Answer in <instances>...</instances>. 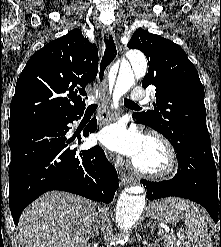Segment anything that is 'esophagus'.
<instances>
[{
	"label": "esophagus",
	"mask_w": 221,
	"mask_h": 247,
	"mask_svg": "<svg viewBox=\"0 0 221 247\" xmlns=\"http://www.w3.org/2000/svg\"><path fill=\"white\" fill-rule=\"evenodd\" d=\"M118 56V47L115 35L111 26H105L102 29V54L99 62V70L97 81L99 84L101 94V109L104 114V119L108 120V106H107V73L110 66ZM116 101L119 100L117 95H114ZM121 182L123 184H134L135 179L128 174H121Z\"/></svg>",
	"instance_id": "obj_1"
}]
</instances>
